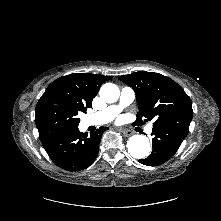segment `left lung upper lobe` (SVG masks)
<instances>
[{
	"instance_id": "5c2ea615",
	"label": "left lung upper lobe",
	"mask_w": 221,
	"mask_h": 221,
	"mask_svg": "<svg viewBox=\"0 0 221 221\" xmlns=\"http://www.w3.org/2000/svg\"><path fill=\"white\" fill-rule=\"evenodd\" d=\"M119 80L135 91L139 112L134 124L153 120V128L187 135L192 103L179 84L162 74L145 71L122 75Z\"/></svg>"
}]
</instances>
